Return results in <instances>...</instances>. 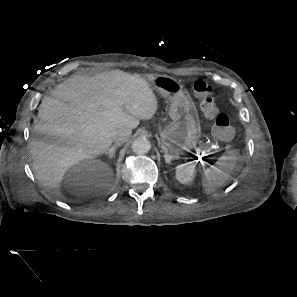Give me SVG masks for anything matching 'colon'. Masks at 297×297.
<instances>
[{"instance_id": "5ec220e1", "label": "colon", "mask_w": 297, "mask_h": 297, "mask_svg": "<svg viewBox=\"0 0 297 297\" xmlns=\"http://www.w3.org/2000/svg\"><path fill=\"white\" fill-rule=\"evenodd\" d=\"M189 86L199 99L202 112L211 119L214 134L221 139H230L233 135L230 115L217 109L211 86L200 78L190 80Z\"/></svg>"}]
</instances>
